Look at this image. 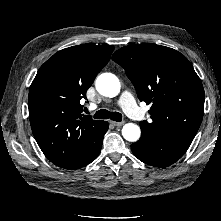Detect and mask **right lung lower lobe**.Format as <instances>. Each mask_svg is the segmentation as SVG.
I'll return each mask as SVG.
<instances>
[{"instance_id": "right-lung-lower-lobe-1", "label": "right lung lower lobe", "mask_w": 221, "mask_h": 221, "mask_svg": "<svg viewBox=\"0 0 221 221\" xmlns=\"http://www.w3.org/2000/svg\"><path fill=\"white\" fill-rule=\"evenodd\" d=\"M108 127H109L108 122L102 121L100 125L95 129L93 134L91 135L90 150L88 154L86 155V157L79 163H76L74 165H70L67 167H62V168L69 169V170L78 169V168L88 165L93 160H95L101 151L103 137L106 131L108 130Z\"/></svg>"}]
</instances>
